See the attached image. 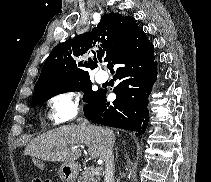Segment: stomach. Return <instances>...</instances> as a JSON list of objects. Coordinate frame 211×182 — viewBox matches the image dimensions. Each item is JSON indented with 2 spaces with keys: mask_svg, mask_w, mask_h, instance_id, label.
Segmentation results:
<instances>
[{
  "mask_svg": "<svg viewBox=\"0 0 211 182\" xmlns=\"http://www.w3.org/2000/svg\"><path fill=\"white\" fill-rule=\"evenodd\" d=\"M78 165L75 162H64L58 175L62 182H74L78 175Z\"/></svg>",
  "mask_w": 211,
  "mask_h": 182,
  "instance_id": "1",
  "label": "stomach"
}]
</instances>
